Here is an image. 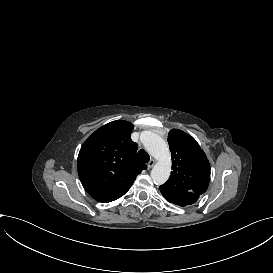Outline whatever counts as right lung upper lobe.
<instances>
[{"mask_svg":"<svg viewBox=\"0 0 273 273\" xmlns=\"http://www.w3.org/2000/svg\"><path fill=\"white\" fill-rule=\"evenodd\" d=\"M134 126L123 120L96 130L82 145L78 174L85 190L107 203L123 196L146 165L136 157L138 146L131 140Z\"/></svg>","mask_w":273,"mask_h":273,"instance_id":"right-lung-upper-lobe-1","label":"right lung upper lobe"}]
</instances>
